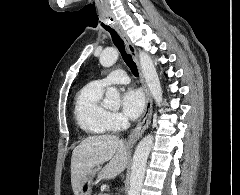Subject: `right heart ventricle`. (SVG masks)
<instances>
[{"label":"right heart ventricle","instance_id":"right-heart-ventricle-1","mask_svg":"<svg viewBox=\"0 0 240 195\" xmlns=\"http://www.w3.org/2000/svg\"><path fill=\"white\" fill-rule=\"evenodd\" d=\"M104 91V84L91 82L76 100L74 114L77 124L89 136H104L111 130L110 112L103 100Z\"/></svg>","mask_w":240,"mask_h":195}]
</instances>
